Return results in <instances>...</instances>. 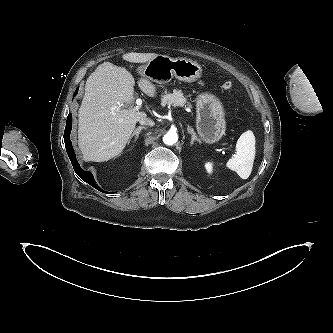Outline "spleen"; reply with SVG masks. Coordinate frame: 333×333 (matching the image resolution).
<instances>
[{
  "label": "spleen",
  "mask_w": 333,
  "mask_h": 333,
  "mask_svg": "<svg viewBox=\"0 0 333 333\" xmlns=\"http://www.w3.org/2000/svg\"><path fill=\"white\" fill-rule=\"evenodd\" d=\"M255 159V137L252 131L244 132L236 143V154L228 160L226 166L235 171L241 179H247Z\"/></svg>",
  "instance_id": "spleen-1"
}]
</instances>
